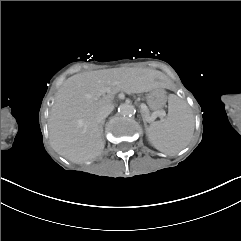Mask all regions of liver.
Returning a JSON list of instances; mask_svg holds the SVG:
<instances>
[{"label": "liver", "instance_id": "6515ba94", "mask_svg": "<svg viewBox=\"0 0 241 241\" xmlns=\"http://www.w3.org/2000/svg\"><path fill=\"white\" fill-rule=\"evenodd\" d=\"M160 74L153 69H105L66 79L55 96L48 120L51 147L74 163L95 159L105 147L96 115L113 105L120 91L144 93L162 87L157 82Z\"/></svg>", "mask_w": 241, "mask_h": 241}]
</instances>
